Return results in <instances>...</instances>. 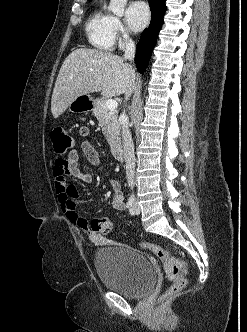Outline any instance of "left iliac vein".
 <instances>
[{
  "label": "left iliac vein",
  "mask_w": 247,
  "mask_h": 332,
  "mask_svg": "<svg viewBox=\"0 0 247 332\" xmlns=\"http://www.w3.org/2000/svg\"><path fill=\"white\" fill-rule=\"evenodd\" d=\"M133 212H134L135 214H139V213H140V208H139L137 202H135V204H134Z\"/></svg>",
  "instance_id": "left-iliac-vein-1"
}]
</instances>
